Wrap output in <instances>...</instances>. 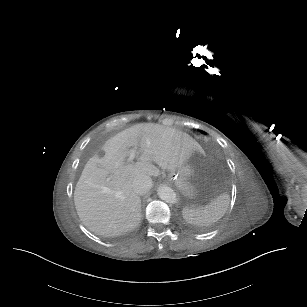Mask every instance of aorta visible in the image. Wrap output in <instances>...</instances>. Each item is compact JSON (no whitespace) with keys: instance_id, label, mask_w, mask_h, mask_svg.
Here are the masks:
<instances>
[{"instance_id":"aorta-1","label":"aorta","mask_w":307,"mask_h":307,"mask_svg":"<svg viewBox=\"0 0 307 307\" xmlns=\"http://www.w3.org/2000/svg\"><path fill=\"white\" fill-rule=\"evenodd\" d=\"M159 198L165 202H174L176 200V193L174 190L166 185H160L157 189Z\"/></svg>"}]
</instances>
